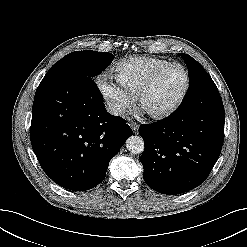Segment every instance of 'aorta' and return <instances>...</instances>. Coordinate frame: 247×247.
Instances as JSON below:
<instances>
[{
  "instance_id": "762f6f07",
  "label": "aorta",
  "mask_w": 247,
  "mask_h": 247,
  "mask_svg": "<svg viewBox=\"0 0 247 247\" xmlns=\"http://www.w3.org/2000/svg\"><path fill=\"white\" fill-rule=\"evenodd\" d=\"M126 148L133 154H141L145 148L144 140L140 136H131L126 140Z\"/></svg>"
}]
</instances>
